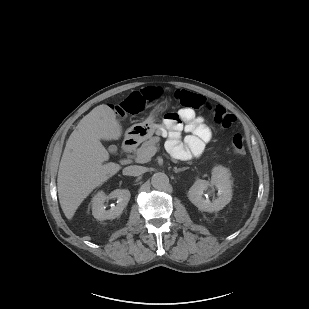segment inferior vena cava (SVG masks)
<instances>
[{"label":"inferior vena cava","instance_id":"inferior-vena-cava-1","mask_svg":"<svg viewBox=\"0 0 309 309\" xmlns=\"http://www.w3.org/2000/svg\"><path fill=\"white\" fill-rule=\"evenodd\" d=\"M145 172V168L138 165L128 166L123 169V174L129 176H140Z\"/></svg>","mask_w":309,"mask_h":309}]
</instances>
